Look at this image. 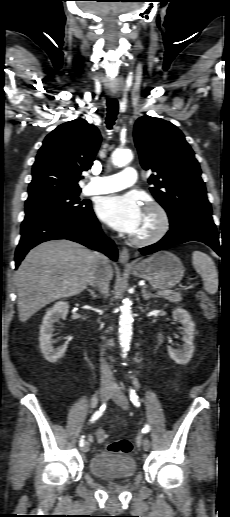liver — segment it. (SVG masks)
<instances>
[{
    "label": "liver",
    "instance_id": "1",
    "mask_svg": "<svg viewBox=\"0 0 230 517\" xmlns=\"http://www.w3.org/2000/svg\"><path fill=\"white\" fill-rule=\"evenodd\" d=\"M97 253L69 240H52L29 251L15 273L19 320L26 322L45 305L80 294L97 271ZM107 273L112 279L110 264Z\"/></svg>",
    "mask_w": 230,
    "mask_h": 517
}]
</instances>
